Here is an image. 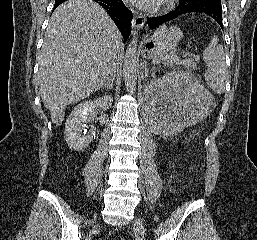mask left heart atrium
I'll return each mask as SVG.
<instances>
[{"instance_id":"39dd6f15","label":"left heart atrium","mask_w":257,"mask_h":240,"mask_svg":"<svg viewBox=\"0 0 257 240\" xmlns=\"http://www.w3.org/2000/svg\"><path fill=\"white\" fill-rule=\"evenodd\" d=\"M127 1L141 9L152 10L159 5L161 0H127Z\"/></svg>"}]
</instances>
